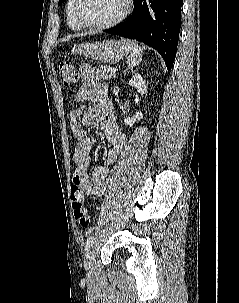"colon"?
I'll return each instance as SVG.
<instances>
[{
  "label": "colon",
  "instance_id": "5ec220e1",
  "mask_svg": "<svg viewBox=\"0 0 239 303\" xmlns=\"http://www.w3.org/2000/svg\"><path fill=\"white\" fill-rule=\"evenodd\" d=\"M59 72L62 83L65 86H70L77 82L78 71L76 67L69 61H63L59 65ZM71 201L73 215L79 224L87 227L90 224V216L84 206L83 192L78 187L71 188Z\"/></svg>",
  "mask_w": 239,
  "mask_h": 303
}]
</instances>
